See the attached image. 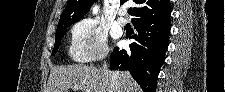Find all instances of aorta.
Returning <instances> with one entry per match:
<instances>
[{
  "label": "aorta",
  "instance_id": "762f6f07",
  "mask_svg": "<svg viewBox=\"0 0 225 92\" xmlns=\"http://www.w3.org/2000/svg\"><path fill=\"white\" fill-rule=\"evenodd\" d=\"M98 9H99L98 6H94L93 7V13L96 14L98 12Z\"/></svg>",
  "mask_w": 225,
  "mask_h": 92
}]
</instances>
